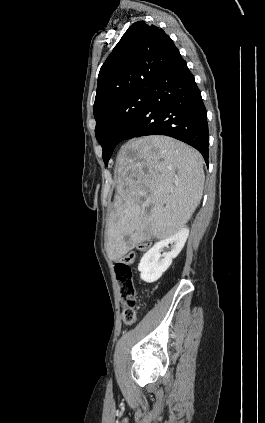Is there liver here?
<instances>
[{"label":"liver","mask_w":265,"mask_h":423,"mask_svg":"<svg viewBox=\"0 0 265 423\" xmlns=\"http://www.w3.org/2000/svg\"><path fill=\"white\" fill-rule=\"evenodd\" d=\"M203 164L197 150L168 136L135 138L121 147L105 239L110 260L151 236L166 239L185 227L203 195Z\"/></svg>","instance_id":"1"}]
</instances>
